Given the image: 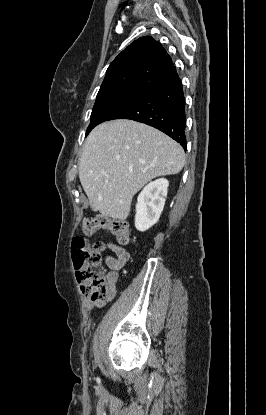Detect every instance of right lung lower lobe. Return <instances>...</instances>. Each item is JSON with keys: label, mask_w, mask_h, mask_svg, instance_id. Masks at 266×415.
Returning a JSON list of instances; mask_svg holds the SVG:
<instances>
[{"label": "right lung lower lobe", "mask_w": 266, "mask_h": 415, "mask_svg": "<svg viewBox=\"0 0 266 415\" xmlns=\"http://www.w3.org/2000/svg\"><path fill=\"white\" fill-rule=\"evenodd\" d=\"M113 119H130L150 125L176 140L186 150L185 98L179 77L156 87L109 120Z\"/></svg>", "instance_id": "1"}]
</instances>
